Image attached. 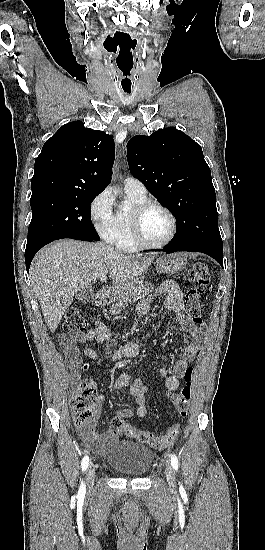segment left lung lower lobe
Segmentation results:
<instances>
[{
    "label": "left lung lower lobe",
    "instance_id": "obj_1",
    "mask_svg": "<svg viewBox=\"0 0 265 550\" xmlns=\"http://www.w3.org/2000/svg\"><path fill=\"white\" fill-rule=\"evenodd\" d=\"M162 251H164L165 253H173V252H178V251L202 252V253L208 254L209 256L214 258L223 267V254L211 252V251H208V250L182 248V247L175 246L173 244H169V245L165 246L162 249Z\"/></svg>",
    "mask_w": 265,
    "mask_h": 550
}]
</instances>
